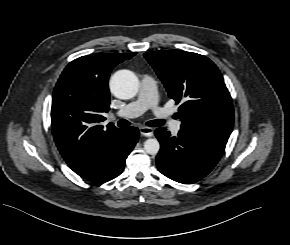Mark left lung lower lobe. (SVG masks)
Wrapping results in <instances>:
<instances>
[{
	"instance_id": "left-lung-lower-lobe-1",
	"label": "left lung lower lobe",
	"mask_w": 290,
	"mask_h": 245,
	"mask_svg": "<svg viewBox=\"0 0 290 245\" xmlns=\"http://www.w3.org/2000/svg\"><path fill=\"white\" fill-rule=\"evenodd\" d=\"M155 135L161 144L156 157L158 170L183 184L205 177L218 163L226 146L184 130L173 137L165 128H158Z\"/></svg>"
}]
</instances>
